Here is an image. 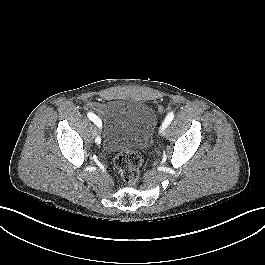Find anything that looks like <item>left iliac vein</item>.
<instances>
[{
  "label": "left iliac vein",
  "instance_id": "obj_1",
  "mask_svg": "<svg viewBox=\"0 0 265 265\" xmlns=\"http://www.w3.org/2000/svg\"><path fill=\"white\" fill-rule=\"evenodd\" d=\"M165 130V129H164ZM163 135H166V131H164Z\"/></svg>",
  "mask_w": 265,
  "mask_h": 265
}]
</instances>
